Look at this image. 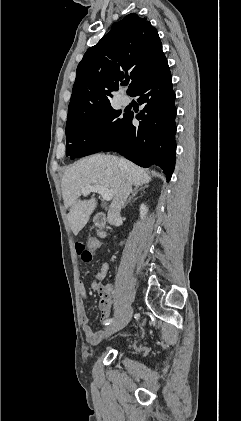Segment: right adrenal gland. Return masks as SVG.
<instances>
[{
    "label": "right adrenal gland",
    "instance_id": "1",
    "mask_svg": "<svg viewBox=\"0 0 241 421\" xmlns=\"http://www.w3.org/2000/svg\"><path fill=\"white\" fill-rule=\"evenodd\" d=\"M148 186H145V187H140L139 188V186H135V188H134V190L132 191V196H130V198L125 202V204H124V206H123V208H125L130 202H131V200L134 198V197H136L137 196V194L140 192V191H142V190H144L145 188H147Z\"/></svg>",
    "mask_w": 241,
    "mask_h": 421
}]
</instances>
